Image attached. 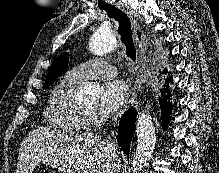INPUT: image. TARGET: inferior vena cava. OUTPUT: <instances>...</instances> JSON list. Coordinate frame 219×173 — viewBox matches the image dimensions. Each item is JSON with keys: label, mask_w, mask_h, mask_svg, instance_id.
Segmentation results:
<instances>
[{"label": "inferior vena cava", "mask_w": 219, "mask_h": 173, "mask_svg": "<svg viewBox=\"0 0 219 173\" xmlns=\"http://www.w3.org/2000/svg\"><path fill=\"white\" fill-rule=\"evenodd\" d=\"M110 150L112 151V155L113 157H116L117 156V147L115 146L114 143L110 142Z\"/></svg>", "instance_id": "602c4592"}]
</instances>
